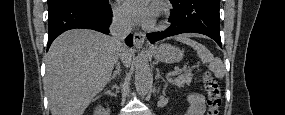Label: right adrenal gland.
Wrapping results in <instances>:
<instances>
[{"label": "right adrenal gland", "instance_id": "1", "mask_svg": "<svg viewBox=\"0 0 285 115\" xmlns=\"http://www.w3.org/2000/svg\"><path fill=\"white\" fill-rule=\"evenodd\" d=\"M118 75H120V65L117 63L116 70L113 72L112 76L109 78V82L114 80Z\"/></svg>", "mask_w": 285, "mask_h": 115}]
</instances>
